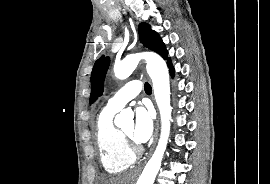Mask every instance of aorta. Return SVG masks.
Listing matches in <instances>:
<instances>
[{"label":"aorta","mask_w":270,"mask_h":184,"mask_svg":"<svg viewBox=\"0 0 270 184\" xmlns=\"http://www.w3.org/2000/svg\"><path fill=\"white\" fill-rule=\"evenodd\" d=\"M142 58L146 60V69L153 82L154 95L161 116V135L156 150L146 164L137 184H153L160 170L170 134V85L166 62L155 53L131 54L114 65V74L118 79L128 78ZM133 117L132 111L123 110L116 116L115 124L121 127Z\"/></svg>","instance_id":"obj_1"}]
</instances>
